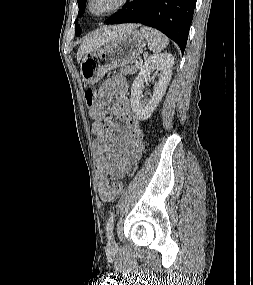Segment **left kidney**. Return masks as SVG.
Here are the masks:
<instances>
[{
	"label": "left kidney",
	"mask_w": 253,
	"mask_h": 285,
	"mask_svg": "<svg viewBox=\"0 0 253 285\" xmlns=\"http://www.w3.org/2000/svg\"><path fill=\"white\" fill-rule=\"evenodd\" d=\"M174 56L169 53L149 57L131 86V107L138 120H147L163 98L172 75ZM160 71L159 81L154 84L153 96L143 104L141 101L144 82L150 80L153 71Z\"/></svg>",
	"instance_id": "1"
}]
</instances>
